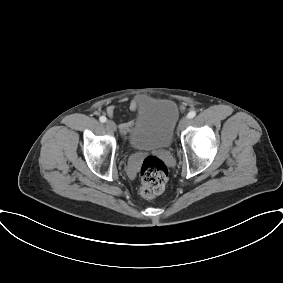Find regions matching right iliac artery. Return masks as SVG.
<instances>
[{"instance_id":"1","label":"right iliac artery","mask_w":283,"mask_h":283,"mask_svg":"<svg viewBox=\"0 0 283 283\" xmlns=\"http://www.w3.org/2000/svg\"><path fill=\"white\" fill-rule=\"evenodd\" d=\"M99 120H100L102 123H104V122H106L107 118H106L105 116H101V117L99 118Z\"/></svg>"}]
</instances>
